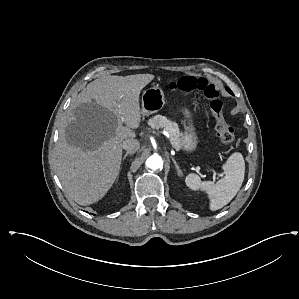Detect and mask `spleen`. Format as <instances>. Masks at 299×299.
I'll return each instance as SVG.
<instances>
[{
  "label": "spleen",
  "instance_id": "3e777b00",
  "mask_svg": "<svg viewBox=\"0 0 299 299\" xmlns=\"http://www.w3.org/2000/svg\"><path fill=\"white\" fill-rule=\"evenodd\" d=\"M225 176L218 182H202L194 173L185 177V183L191 190H203L210 199V210H218L227 205L240 190L245 173L244 158L241 153H233L223 165Z\"/></svg>",
  "mask_w": 299,
  "mask_h": 299
}]
</instances>
